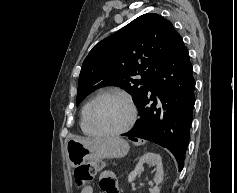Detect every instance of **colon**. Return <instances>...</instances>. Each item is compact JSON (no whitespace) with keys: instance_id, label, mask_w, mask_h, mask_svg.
Returning <instances> with one entry per match:
<instances>
[{"instance_id":"obj_1","label":"colon","mask_w":237,"mask_h":193,"mask_svg":"<svg viewBox=\"0 0 237 193\" xmlns=\"http://www.w3.org/2000/svg\"><path fill=\"white\" fill-rule=\"evenodd\" d=\"M104 167L101 161L85 163L75 169L74 176L79 187L90 184L99 170Z\"/></svg>"}]
</instances>
